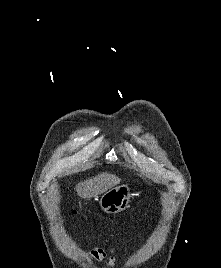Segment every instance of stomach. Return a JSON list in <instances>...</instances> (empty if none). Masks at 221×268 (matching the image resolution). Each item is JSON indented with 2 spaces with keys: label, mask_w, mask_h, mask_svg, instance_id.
<instances>
[{
  "label": "stomach",
  "mask_w": 221,
  "mask_h": 268,
  "mask_svg": "<svg viewBox=\"0 0 221 268\" xmlns=\"http://www.w3.org/2000/svg\"><path fill=\"white\" fill-rule=\"evenodd\" d=\"M134 194L128 185H120L106 191L99 200V206L106 213H118L130 207Z\"/></svg>",
  "instance_id": "1"
}]
</instances>
